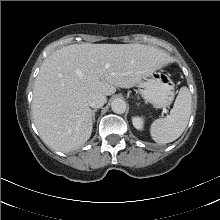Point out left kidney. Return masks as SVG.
Instances as JSON below:
<instances>
[{"label": "left kidney", "instance_id": "obj_1", "mask_svg": "<svg viewBox=\"0 0 220 220\" xmlns=\"http://www.w3.org/2000/svg\"><path fill=\"white\" fill-rule=\"evenodd\" d=\"M133 126L138 130H143L144 119L142 117H133L132 118Z\"/></svg>", "mask_w": 220, "mask_h": 220}]
</instances>
